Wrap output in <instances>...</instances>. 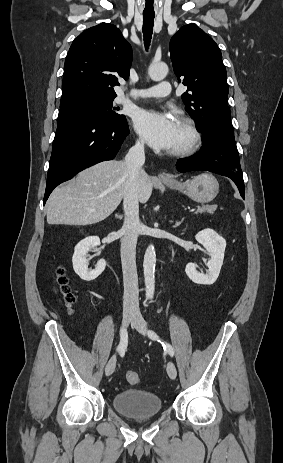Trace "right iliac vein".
I'll list each match as a JSON object with an SVG mask.
<instances>
[{
  "instance_id": "obj_1",
  "label": "right iliac vein",
  "mask_w": 283,
  "mask_h": 463,
  "mask_svg": "<svg viewBox=\"0 0 283 463\" xmlns=\"http://www.w3.org/2000/svg\"><path fill=\"white\" fill-rule=\"evenodd\" d=\"M134 316H135L134 311H131V310H125L124 311L123 318H122V326H123V328L128 327V325L130 324V322L132 321ZM116 361H117V357H116V354H115L110 358V360L108 361V363L106 365L105 374L107 376H110L114 372L115 367H116Z\"/></svg>"
}]
</instances>
